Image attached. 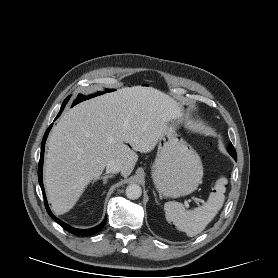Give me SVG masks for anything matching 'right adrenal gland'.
I'll return each mask as SVG.
<instances>
[{
    "mask_svg": "<svg viewBox=\"0 0 278 278\" xmlns=\"http://www.w3.org/2000/svg\"><path fill=\"white\" fill-rule=\"evenodd\" d=\"M114 175H104V176H101L99 179H102L103 180V185H105L107 183V180L109 178H112Z\"/></svg>",
    "mask_w": 278,
    "mask_h": 278,
    "instance_id": "obj_1",
    "label": "right adrenal gland"
}]
</instances>
